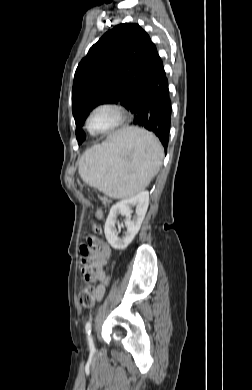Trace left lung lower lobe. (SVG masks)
Masks as SVG:
<instances>
[{
    "instance_id": "obj_1",
    "label": "left lung lower lobe",
    "mask_w": 252,
    "mask_h": 390,
    "mask_svg": "<svg viewBox=\"0 0 252 390\" xmlns=\"http://www.w3.org/2000/svg\"><path fill=\"white\" fill-rule=\"evenodd\" d=\"M133 115L132 124L153 132L166 149L171 121L168 80L161 60L145 76L126 107Z\"/></svg>"
}]
</instances>
